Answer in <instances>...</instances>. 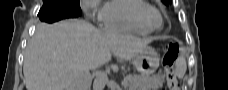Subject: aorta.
Segmentation results:
<instances>
[{
  "instance_id": "obj_1",
  "label": "aorta",
  "mask_w": 228,
  "mask_h": 90,
  "mask_svg": "<svg viewBox=\"0 0 228 90\" xmlns=\"http://www.w3.org/2000/svg\"><path fill=\"white\" fill-rule=\"evenodd\" d=\"M107 82H108L107 74L105 72L99 73L93 82V90H104Z\"/></svg>"
}]
</instances>
